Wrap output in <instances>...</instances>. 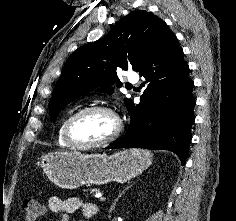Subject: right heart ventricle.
Returning a JSON list of instances; mask_svg holds the SVG:
<instances>
[{"mask_svg": "<svg viewBox=\"0 0 236 221\" xmlns=\"http://www.w3.org/2000/svg\"><path fill=\"white\" fill-rule=\"evenodd\" d=\"M71 115H68L59 125L58 128V132H57V140H58V145L62 148H69L70 146L65 142L64 140V136H63V129H64V125L67 121V119L70 117Z\"/></svg>", "mask_w": 236, "mask_h": 221, "instance_id": "1", "label": "right heart ventricle"}]
</instances>
